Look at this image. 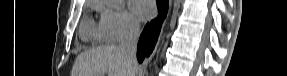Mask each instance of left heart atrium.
<instances>
[{"mask_svg": "<svg viewBox=\"0 0 287 76\" xmlns=\"http://www.w3.org/2000/svg\"><path fill=\"white\" fill-rule=\"evenodd\" d=\"M131 8L141 20L150 19L155 14V6L151 0H133Z\"/></svg>", "mask_w": 287, "mask_h": 76, "instance_id": "left-heart-atrium-1", "label": "left heart atrium"}]
</instances>
